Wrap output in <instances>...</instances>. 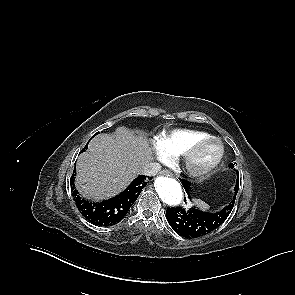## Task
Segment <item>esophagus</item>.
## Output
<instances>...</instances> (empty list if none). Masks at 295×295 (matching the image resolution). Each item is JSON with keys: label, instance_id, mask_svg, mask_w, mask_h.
<instances>
[{"label": "esophagus", "instance_id": "1", "mask_svg": "<svg viewBox=\"0 0 295 295\" xmlns=\"http://www.w3.org/2000/svg\"><path fill=\"white\" fill-rule=\"evenodd\" d=\"M160 174L161 175H164V176H172L173 174L169 171V170H162L161 172H160Z\"/></svg>", "mask_w": 295, "mask_h": 295}]
</instances>
